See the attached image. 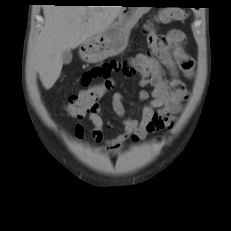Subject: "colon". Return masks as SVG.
Returning a JSON list of instances; mask_svg holds the SVG:
<instances>
[{
	"label": "colon",
	"mask_w": 231,
	"mask_h": 231,
	"mask_svg": "<svg viewBox=\"0 0 231 231\" xmlns=\"http://www.w3.org/2000/svg\"><path fill=\"white\" fill-rule=\"evenodd\" d=\"M187 13L180 8H168L160 12L158 20L160 22L168 23L181 21L185 19ZM150 46L160 48L162 40L159 37L149 38ZM112 81L103 82L98 85H93L84 88L77 93L70 96L65 106L67 113L74 118H82L86 114L98 108V101L103 96L106 90L112 87Z\"/></svg>",
	"instance_id": "5ec220e1"
}]
</instances>
